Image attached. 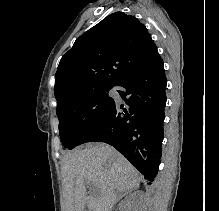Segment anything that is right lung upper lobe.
Returning <instances> with one entry per match:
<instances>
[{
    "label": "right lung upper lobe",
    "mask_w": 219,
    "mask_h": 211,
    "mask_svg": "<svg viewBox=\"0 0 219 211\" xmlns=\"http://www.w3.org/2000/svg\"><path fill=\"white\" fill-rule=\"evenodd\" d=\"M158 56L142 23L134 16L113 13L80 36L61 58L55 75L57 102L112 88Z\"/></svg>",
    "instance_id": "obj_1"
}]
</instances>
